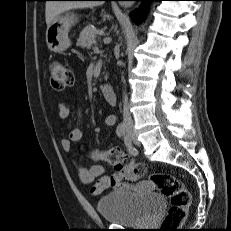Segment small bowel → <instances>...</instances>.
Instances as JSON below:
<instances>
[{
  "label": "small bowel",
  "instance_id": "obj_1",
  "mask_svg": "<svg viewBox=\"0 0 231 231\" xmlns=\"http://www.w3.org/2000/svg\"><path fill=\"white\" fill-rule=\"evenodd\" d=\"M70 114L69 108L64 103H58L57 105V115L58 118L64 120L68 118ZM78 125L73 128L67 138L61 140V147L64 152L69 155V159L75 166L79 179L84 184H92L90 192L94 196L100 195L102 192L109 188L117 190H127L134 191L137 193H151L155 190V184L150 181H130L123 182L124 178L122 174L115 173L110 176L105 175V167L103 165H93L91 167H86L78 163L76 156L72 153L73 144L77 143L82 138V115L79 114ZM105 125L112 127L116 123V117L112 114L105 117Z\"/></svg>",
  "mask_w": 231,
  "mask_h": 231
}]
</instances>
